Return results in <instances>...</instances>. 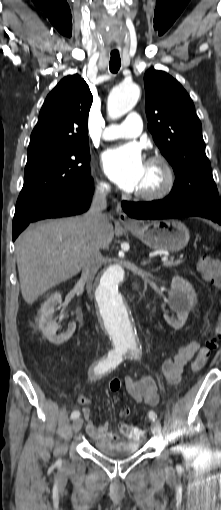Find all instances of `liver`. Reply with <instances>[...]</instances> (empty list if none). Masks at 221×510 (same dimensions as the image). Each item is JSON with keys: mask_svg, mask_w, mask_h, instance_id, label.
Wrapping results in <instances>:
<instances>
[{"mask_svg": "<svg viewBox=\"0 0 221 510\" xmlns=\"http://www.w3.org/2000/svg\"><path fill=\"white\" fill-rule=\"evenodd\" d=\"M86 236L85 217L80 216L31 225L17 238L21 293L28 304L81 271ZM113 237V225L108 222L99 236L100 248L106 249Z\"/></svg>", "mask_w": 221, "mask_h": 510, "instance_id": "obj_1", "label": "liver"}]
</instances>
